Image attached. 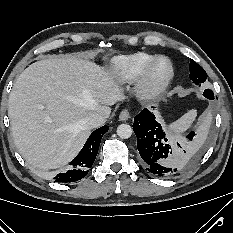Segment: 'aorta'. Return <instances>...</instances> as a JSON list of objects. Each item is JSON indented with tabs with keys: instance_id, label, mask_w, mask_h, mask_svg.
I'll list each match as a JSON object with an SVG mask.
<instances>
[{
	"instance_id": "762f6f07",
	"label": "aorta",
	"mask_w": 233,
	"mask_h": 233,
	"mask_svg": "<svg viewBox=\"0 0 233 233\" xmlns=\"http://www.w3.org/2000/svg\"><path fill=\"white\" fill-rule=\"evenodd\" d=\"M132 127L128 124H121L117 127V135L121 139H128L132 135Z\"/></svg>"
}]
</instances>
